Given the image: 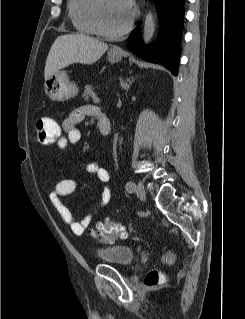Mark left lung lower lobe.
Instances as JSON below:
<instances>
[{"label":"left lung lower lobe","mask_w":245,"mask_h":319,"mask_svg":"<svg viewBox=\"0 0 245 319\" xmlns=\"http://www.w3.org/2000/svg\"><path fill=\"white\" fill-rule=\"evenodd\" d=\"M160 23L157 41L144 46L137 26L130 34L127 47L135 55L152 63H161L177 75L180 39L183 32L184 0H154Z\"/></svg>","instance_id":"obj_1"}]
</instances>
